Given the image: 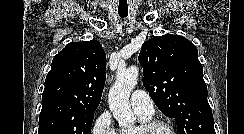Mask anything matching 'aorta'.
Masks as SVG:
<instances>
[{"label": "aorta", "instance_id": "1", "mask_svg": "<svg viewBox=\"0 0 244 134\" xmlns=\"http://www.w3.org/2000/svg\"><path fill=\"white\" fill-rule=\"evenodd\" d=\"M139 70L136 66L118 69L116 81L109 91V107L113 117L122 127L135 122V116L129 104L130 93L137 84Z\"/></svg>", "mask_w": 244, "mask_h": 134}]
</instances>
